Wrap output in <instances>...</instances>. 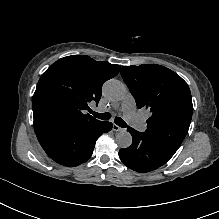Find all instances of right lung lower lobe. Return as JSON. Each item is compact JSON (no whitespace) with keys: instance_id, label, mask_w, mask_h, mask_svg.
I'll return each mask as SVG.
<instances>
[{"instance_id":"1","label":"right lung lower lobe","mask_w":219,"mask_h":219,"mask_svg":"<svg viewBox=\"0 0 219 219\" xmlns=\"http://www.w3.org/2000/svg\"><path fill=\"white\" fill-rule=\"evenodd\" d=\"M112 127L111 122L98 121L88 126L41 128L35 129V132L42 148L52 160L73 167L90 158L98 137L109 132Z\"/></svg>"}]
</instances>
